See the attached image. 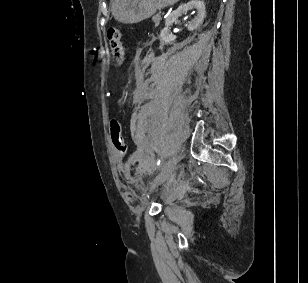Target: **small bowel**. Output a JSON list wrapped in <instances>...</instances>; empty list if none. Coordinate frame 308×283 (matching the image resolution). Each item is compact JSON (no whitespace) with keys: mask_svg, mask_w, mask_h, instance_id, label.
Masks as SVG:
<instances>
[{"mask_svg":"<svg viewBox=\"0 0 308 283\" xmlns=\"http://www.w3.org/2000/svg\"><path fill=\"white\" fill-rule=\"evenodd\" d=\"M144 97L145 96L140 91H135L133 93V101H134V103H140L141 101L144 100ZM118 170L120 172H122L123 174H125V175H128V173H129V169H128V167H127V165L125 163H119Z\"/></svg>","mask_w":308,"mask_h":283,"instance_id":"c3829d8e","label":"small bowel"}]
</instances>
